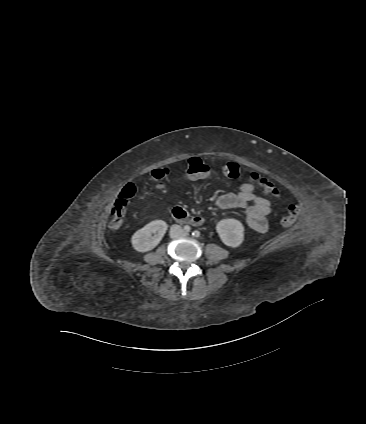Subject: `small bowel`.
Here are the masks:
<instances>
[{"instance_id": "1", "label": "small bowel", "mask_w": 366, "mask_h": 424, "mask_svg": "<svg viewBox=\"0 0 366 424\" xmlns=\"http://www.w3.org/2000/svg\"><path fill=\"white\" fill-rule=\"evenodd\" d=\"M219 208H244L248 226L259 233L268 229L267 217L271 211L270 202L255 193L251 183H244L237 192L220 195L216 200Z\"/></svg>"}]
</instances>
